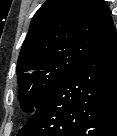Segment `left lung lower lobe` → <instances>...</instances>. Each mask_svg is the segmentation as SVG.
I'll return each instance as SVG.
<instances>
[{
  "label": "left lung lower lobe",
  "mask_w": 117,
  "mask_h": 136,
  "mask_svg": "<svg viewBox=\"0 0 117 136\" xmlns=\"http://www.w3.org/2000/svg\"><path fill=\"white\" fill-rule=\"evenodd\" d=\"M17 136H117L115 29L38 106Z\"/></svg>",
  "instance_id": "1"
}]
</instances>
